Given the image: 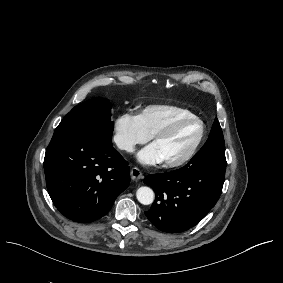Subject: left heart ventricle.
<instances>
[{"label":"left heart ventricle","instance_id":"1","mask_svg":"<svg viewBox=\"0 0 283 283\" xmlns=\"http://www.w3.org/2000/svg\"><path fill=\"white\" fill-rule=\"evenodd\" d=\"M199 131L198 122L187 121L182 123L171 137L157 140L165 161H177L185 156L196 141Z\"/></svg>","mask_w":283,"mask_h":283}]
</instances>
